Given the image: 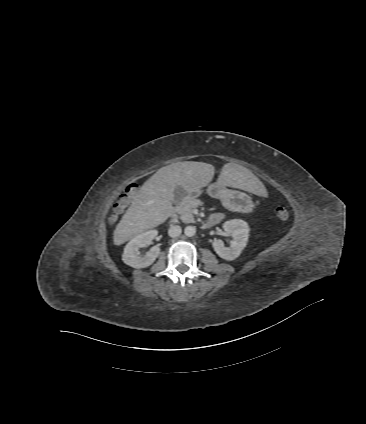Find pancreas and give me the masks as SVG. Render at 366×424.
I'll list each match as a JSON object with an SVG mask.
<instances>
[{"label":"pancreas","mask_w":366,"mask_h":424,"mask_svg":"<svg viewBox=\"0 0 366 424\" xmlns=\"http://www.w3.org/2000/svg\"><path fill=\"white\" fill-rule=\"evenodd\" d=\"M200 205L198 200H187L180 204L178 213L184 223H195L193 209Z\"/></svg>","instance_id":"obj_1"}]
</instances>
